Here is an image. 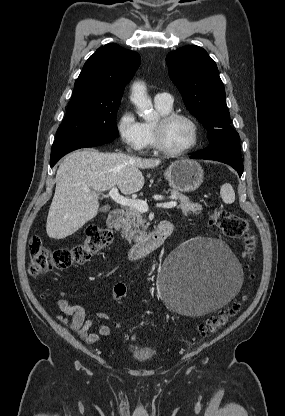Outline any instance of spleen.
Wrapping results in <instances>:
<instances>
[{"mask_svg":"<svg viewBox=\"0 0 285 416\" xmlns=\"http://www.w3.org/2000/svg\"><path fill=\"white\" fill-rule=\"evenodd\" d=\"M220 194L224 204H233L235 194L231 184H223V186H221Z\"/></svg>","mask_w":285,"mask_h":416,"instance_id":"1","label":"spleen"}]
</instances>
